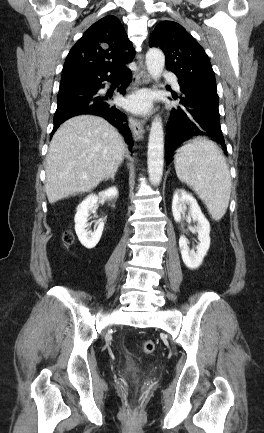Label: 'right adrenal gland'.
I'll return each instance as SVG.
<instances>
[{
	"instance_id": "1",
	"label": "right adrenal gland",
	"mask_w": 264,
	"mask_h": 433,
	"mask_svg": "<svg viewBox=\"0 0 264 433\" xmlns=\"http://www.w3.org/2000/svg\"><path fill=\"white\" fill-rule=\"evenodd\" d=\"M115 174H116V172L113 173L110 177L106 178L105 181H108L109 179H111L112 181H114V179H115Z\"/></svg>"
}]
</instances>
